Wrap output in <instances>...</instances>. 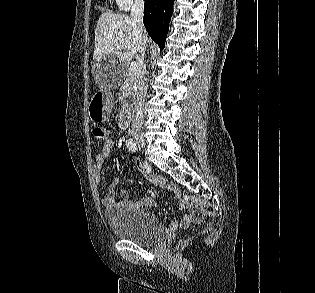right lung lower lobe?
Wrapping results in <instances>:
<instances>
[{
    "instance_id": "98d812e1",
    "label": "right lung lower lobe",
    "mask_w": 315,
    "mask_h": 293,
    "mask_svg": "<svg viewBox=\"0 0 315 293\" xmlns=\"http://www.w3.org/2000/svg\"><path fill=\"white\" fill-rule=\"evenodd\" d=\"M174 0H145L144 26L162 50L165 46Z\"/></svg>"
}]
</instances>
